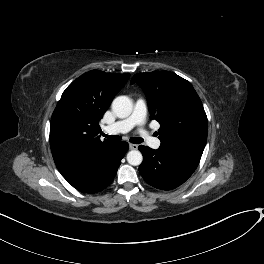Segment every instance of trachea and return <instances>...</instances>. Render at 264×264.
<instances>
[{
	"mask_svg": "<svg viewBox=\"0 0 264 264\" xmlns=\"http://www.w3.org/2000/svg\"><path fill=\"white\" fill-rule=\"evenodd\" d=\"M105 138L111 140V141H120L121 140V137L118 136V135H107V134H104V133H101ZM130 142L131 143H134V144H140L141 142H143V138H140V137H133L130 139Z\"/></svg>",
	"mask_w": 264,
	"mask_h": 264,
	"instance_id": "obj_1",
	"label": "trachea"
}]
</instances>
